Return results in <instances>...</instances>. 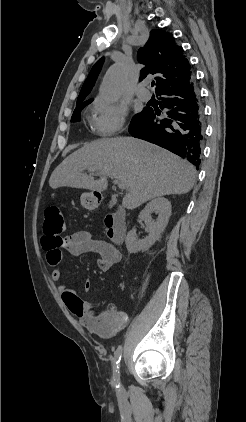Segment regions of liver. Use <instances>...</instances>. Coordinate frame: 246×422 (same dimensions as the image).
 Here are the masks:
<instances>
[{
    "instance_id": "liver-1",
    "label": "liver",
    "mask_w": 246,
    "mask_h": 422,
    "mask_svg": "<svg viewBox=\"0 0 246 422\" xmlns=\"http://www.w3.org/2000/svg\"><path fill=\"white\" fill-rule=\"evenodd\" d=\"M95 170L100 179L85 171ZM196 170L186 160L143 140L117 137L86 143L65 158L51 174L49 185L103 192L107 178L125 184L123 206L129 210L156 197L188 193Z\"/></svg>"
}]
</instances>
